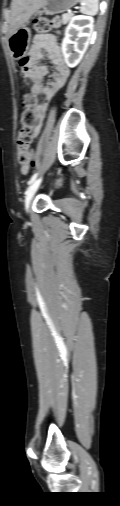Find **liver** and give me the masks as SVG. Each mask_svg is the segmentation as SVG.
<instances>
[{"label":"liver","mask_w":120,"mask_h":506,"mask_svg":"<svg viewBox=\"0 0 120 506\" xmlns=\"http://www.w3.org/2000/svg\"><path fill=\"white\" fill-rule=\"evenodd\" d=\"M46 0H12L10 16L8 17V37L17 29L23 27L33 14L39 11Z\"/></svg>","instance_id":"obj_1"}]
</instances>
